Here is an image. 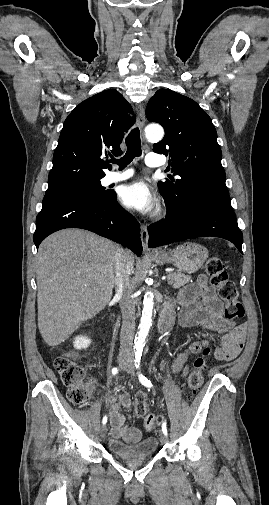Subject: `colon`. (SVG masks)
<instances>
[{
    "instance_id": "obj_1",
    "label": "colon",
    "mask_w": 269,
    "mask_h": 505,
    "mask_svg": "<svg viewBox=\"0 0 269 505\" xmlns=\"http://www.w3.org/2000/svg\"><path fill=\"white\" fill-rule=\"evenodd\" d=\"M205 272L210 278V283L217 288L220 299L225 302V318L230 321L242 318L244 308L238 300L235 283L229 279L223 261L217 256H211L206 261ZM209 353L210 349L205 348L203 355L194 361L187 382L189 399L193 398L202 386L206 357ZM54 368L62 383L68 387V401L73 405L83 406L88 399V389L84 382L85 372L82 366L74 360L71 352H65L55 359ZM135 412L138 416L146 415V397L143 393L136 395ZM160 421V417L148 414L144 420L145 428L152 430L159 425Z\"/></svg>"
}]
</instances>
